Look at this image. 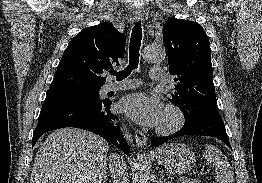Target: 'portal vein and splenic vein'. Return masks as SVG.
I'll list each match as a JSON object with an SVG mask.
<instances>
[{"instance_id": "obj_1", "label": "portal vein and splenic vein", "mask_w": 262, "mask_h": 183, "mask_svg": "<svg viewBox=\"0 0 262 183\" xmlns=\"http://www.w3.org/2000/svg\"><path fill=\"white\" fill-rule=\"evenodd\" d=\"M208 173V171H201L200 173H199V175H205V174H207ZM185 179H180V181H184Z\"/></svg>"}]
</instances>
